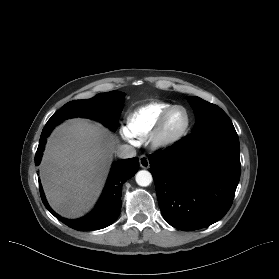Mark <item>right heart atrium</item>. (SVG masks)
Wrapping results in <instances>:
<instances>
[{
    "mask_svg": "<svg viewBox=\"0 0 279 279\" xmlns=\"http://www.w3.org/2000/svg\"><path fill=\"white\" fill-rule=\"evenodd\" d=\"M121 133H122V135H123L124 138H126V139H128V140L131 139V135L128 133V131H127L125 128H123V129L121 130Z\"/></svg>",
    "mask_w": 279,
    "mask_h": 279,
    "instance_id": "obj_1",
    "label": "right heart atrium"
}]
</instances>
